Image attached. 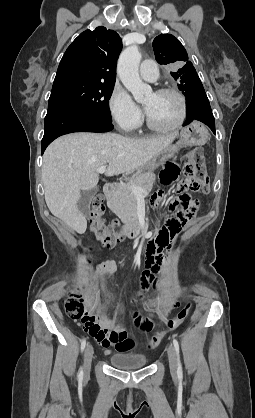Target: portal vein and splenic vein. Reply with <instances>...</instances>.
Returning a JSON list of instances; mask_svg holds the SVG:
<instances>
[{
	"mask_svg": "<svg viewBox=\"0 0 255 418\" xmlns=\"http://www.w3.org/2000/svg\"><path fill=\"white\" fill-rule=\"evenodd\" d=\"M105 170H106V165H103V166H101L97 169V172L99 174H103L105 172ZM131 190L135 195L136 194H141V193L144 192V190L142 188L138 187V186H132Z\"/></svg>",
	"mask_w": 255,
	"mask_h": 418,
	"instance_id": "obj_1",
	"label": "portal vein and splenic vein"
}]
</instances>
